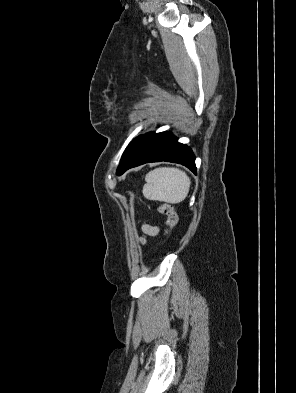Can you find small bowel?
<instances>
[{
  "label": "small bowel",
  "mask_w": 296,
  "mask_h": 393,
  "mask_svg": "<svg viewBox=\"0 0 296 393\" xmlns=\"http://www.w3.org/2000/svg\"><path fill=\"white\" fill-rule=\"evenodd\" d=\"M142 231L145 236H156L159 233V227L150 224H143Z\"/></svg>",
  "instance_id": "1"
}]
</instances>
